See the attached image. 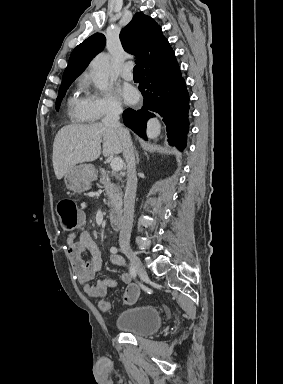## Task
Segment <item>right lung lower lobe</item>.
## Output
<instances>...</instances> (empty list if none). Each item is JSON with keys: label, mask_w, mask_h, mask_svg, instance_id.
<instances>
[{"label": "right lung lower lobe", "mask_w": 283, "mask_h": 384, "mask_svg": "<svg viewBox=\"0 0 283 384\" xmlns=\"http://www.w3.org/2000/svg\"><path fill=\"white\" fill-rule=\"evenodd\" d=\"M144 101L140 109L123 112L124 124L147 139V121L160 115L170 145L183 151L189 130V94L177 61L162 71L141 76L139 85Z\"/></svg>", "instance_id": "obj_1"}]
</instances>
